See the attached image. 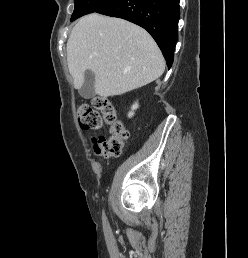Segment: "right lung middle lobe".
<instances>
[{"mask_svg":"<svg viewBox=\"0 0 248 258\" xmlns=\"http://www.w3.org/2000/svg\"><path fill=\"white\" fill-rule=\"evenodd\" d=\"M112 1L113 0H75V8L71 21L76 20L85 14L97 12Z\"/></svg>","mask_w":248,"mask_h":258,"instance_id":"dd1d6c3e","label":"right lung middle lobe"}]
</instances>
